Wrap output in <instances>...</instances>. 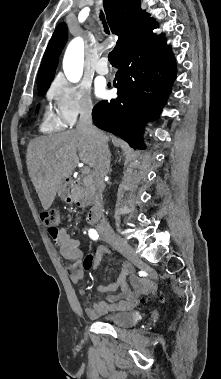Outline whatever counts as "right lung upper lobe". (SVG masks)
<instances>
[{
    "label": "right lung upper lobe",
    "instance_id": "1",
    "mask_svg": "<svg viewBox=\"0 0 221 379\" xmlns=\"http://www.w3.org/2000/svg\"><path fill=\"white\" fill-rule=\"evenodd\" d=\"M103 5L112 33L119 36L118 54L157 25L154 19L141 9L140 0H104ZM66 40V25L60 23L45 51L37 76V88L50 85Z\"/></svg>",
    "mask_w": 221,
    "mask_h": 379
}]
</instances>
